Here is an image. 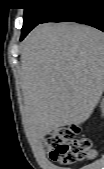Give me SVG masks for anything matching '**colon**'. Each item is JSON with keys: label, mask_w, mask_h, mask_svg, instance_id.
Here are the masks:
<instances>
[{"label": "colon", "mask_w": 104, "mask_h": 169, "mask_svg": "<svg viewBox=\"0 0 104 169\" xmlns=\"http://www.w3.org/2000/svg\"><path fill=\"white\" fill-rule=\"evenodd\" d=\"M79 132L78 126L68 125L49 133L44 143L50 159L61 165H69L94 158L96 153L91 140L79 138Z\"/></svg>", "instance_id": "colon-1"}]
</instances>
